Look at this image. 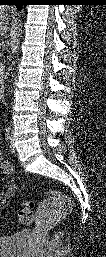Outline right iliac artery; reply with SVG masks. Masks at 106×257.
Listing matches in <instances>:
<instances>
[{
    "label": "right iliac artery",
    "mask_w": 106,
    "mask_h": 257,
    "mask_svg": "<svg viewBox=\"0 0 106 257\" xmlns=\"http://www.w3.org/2000/svg\"><path fill=\"white\" fill-rule=\"evenodd\" d=\"M5 139L8 140V141L11 139L10 130L9 129L5 130Z\"/></svg>",
    "instance_id": "82829eb1"
}]
</instances>
